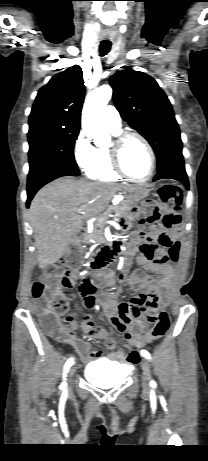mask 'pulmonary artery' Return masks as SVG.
Here are the masks:
<instances>
[{
    "instance_id": "obj_1",
    "label": "pulmonary artery",
    "mask_w": 208,
    "mask_h": 461,
    "mask_svg": "<svg viewBox=\"0 0 208 461\" xmlns=\"http://www.w3.org/2000/svg\"><path fill=\"white\" fill-rule=\"evenodd\" d=\"M104 124L113 131L121 129V117L113 106H107L102 114Z\"/></svg>"
}]
</instances>
